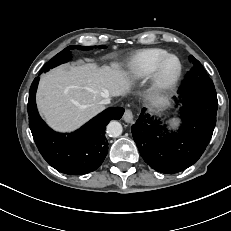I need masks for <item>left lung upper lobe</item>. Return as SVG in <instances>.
I'll use <instances>...</instances> for the list:
<instances>
[{
  "instance_id": "left-lung-upper-lobe-1",
  "label": "left lung upper lobe",
  "mask_w": 231,
  "mask_h": 231,
  "mask_svg": "<svg viewBox=\"0 0 231 231\" xmlns=\"http://www.w3.org/2000/svg\"><path fill=\"white\" fill-rule=\"evenodd\" d=\"M189 59L192 63V68L187 73L185 80L180 87V90H199L211 94H216L214 84L200 62L192 55L189 57Z\"/></svg>"
}]
</instances>
